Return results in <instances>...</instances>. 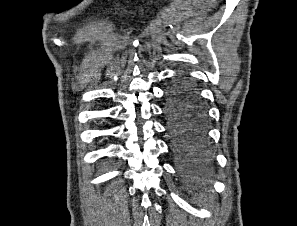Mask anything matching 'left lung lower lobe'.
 Here are the masks:
<instances>
[{"label": "left lung lower lobe", "mask_w": 297, "mask_h": 226, "mask_svg": "<svg viewBox=\"0 0 297 226\" xmlns=\"http://www.w3.org/2000/svg\"><path fill=\"white\" fill-rule=\"evenodd\" d=\"M164 113L180 174L189 182L205 181L211 171L206 113L189 81L177 80L168 88Z\"/></svg>", "instance_id": "0a47b994"}]
</instances>
